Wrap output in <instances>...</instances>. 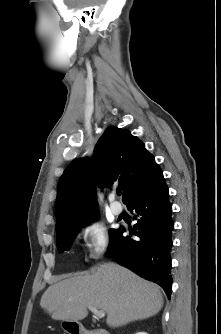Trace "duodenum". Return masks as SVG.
<instances>
[{"mask_svg":"<svg viewBox=\"0 0 221 334\" xmlns=\"http://www.w3.org/2000/svg\"><path fill=\"white\" fill-rule=\"evenodd\" d=\"M70 333L72 334H110L107 330L105 329H87L84 327H76L72 328L69 330Z\"/></svg>","mask_w":221,"mask_h":334,"instance_id":"obj_1","label":"duodenum"}]
</instances>
